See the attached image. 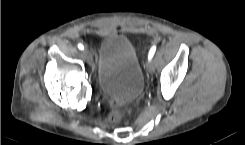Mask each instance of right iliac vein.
Returning a JSON list of instances; mask_svg holds the SVG:
<instances>
[{"label":"right iliac vein","instance_id":"right-iliac-vein-1","mask_svg":"<svg viewBox=\"0 0 245 145\" xmlns=\"http://www.w3.org/2000/svg\"><path fill=\"white\" fill-rule=\"evenodd\" d=\"M84 54L86 55L88 61L91 62V60H92V55H91V53H90L88 50H85V51H84Z\"/></svg>","mask_w":245,"mask_h":145}]
</instances>
